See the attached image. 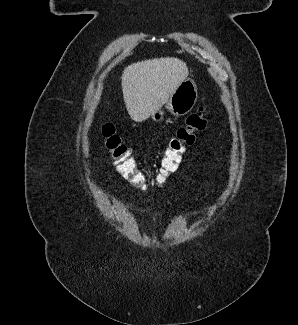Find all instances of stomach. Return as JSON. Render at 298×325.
I'll list each match as a JSON object with an SVG mask.
<instances>
[{"instance_id":"stomach-1","label":"stomach","mask_w":298,"mask_h":325,"mask_svg":"<svg viewBox=\"0 0 298 325\" xmlns=\"http://www.w3.org/2000/svg\"><path fill=\"white\" fill-rule=\"evenodd\" d=\"M198 98V90L197 84L194 78H185L179 86H177L175 92L170 94L169 100H167L164 108H167L171 114H175V116H183V114H187L190 112L192 108H194ZM165 112L163 108H159L156 112L151 114L152 120L155 122H160L163 120Z\"/></svg>"}]
</instances>
